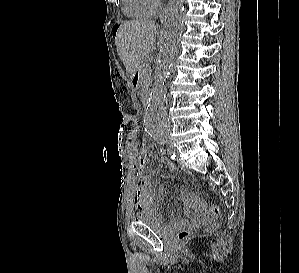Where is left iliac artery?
I'll return each instance as SVG.
<instances>
[{"label": "left iliac artery", "mask_w": 299, "mask_h": 273, "mask_svg": "<svg viewBox=\"0 0 299 273\" xmlns=\"http://www.w3.org/2000/svg\"><path fill=\"white\" fill-rule=\"evenodd\" d=\"M165 142H166L165 139L160 140V143H161V144H164ZM168 154H169V156H170L172 159H175L176 155H175V153H174L173 151H169Z\"/></svg>", "instance_id": "left-iliac-artery-1"}]
</instances>
